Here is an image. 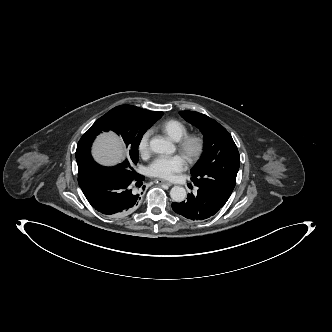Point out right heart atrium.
Segmentation results:
<instances>
[{"instance_id":"d8ad5b80","label":"right heart atrium","mask_w":332,"mask_h":332,"mask_svg":"<svg viewBox=\"0 0 332 332\" xmlns=\"http://www.w3.org/2000/svg\"><path fill=\"white\" fill-rule=\"evenodd\" d=\"M150 136H151V131L147 130L146 132L143 133V135L139 140L138 150L142 156H146L150 151V145H149Z\"/></svg>"}]
</instances>
